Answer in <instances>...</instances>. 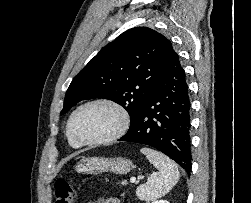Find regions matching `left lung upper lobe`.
<instances>
[{
    "label": "left lung upper lobe",
    "mask_w": 251,
    "mask_h": 203,
    "mask_svg": "<svg viewBox=\"0 0 251 203\" xmlns=\"http://www.w3.org/2000/svg\"><path fill=\"white\" fill-rule=\"evenodd\" d=\"M174 53L171 42L148 27H135L103 47L73 78L61 115L76 103L105 98L123 106L135 123Z\"/></svg>",
    "instance_id": "obj_1"
}]
</instances>
